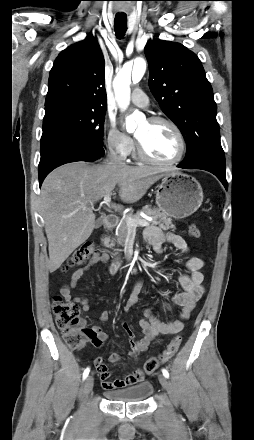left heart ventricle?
<instances>
[{
    "label": "left heart ventricle",
    "mask_w": 254,
    "mask_h": 440,
    "mask_svg": "<svg viewBox=\"0 0 254 440\" xmlns=\"http://www.w3.org/2000/svg\"><path fill=\"white\" fill-rule=\"evenodd\" d=\"M146 152L154 159L170 161L179 153L180 144L176 133L166 124L141 123L136 132Z\"/></svg>",
    "instance_id": "1"
}]
</instances>
